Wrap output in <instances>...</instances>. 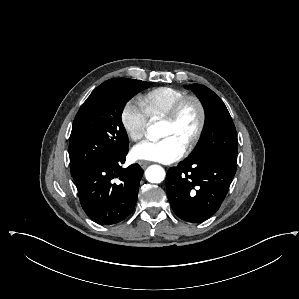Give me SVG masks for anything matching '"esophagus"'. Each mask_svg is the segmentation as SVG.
I'll list each match as a JSON object with an SVG mask.
<instances>
[{
    "instance_id": "obj_1",
    "label": "esophagus",
    "mask_w": 299,
    "mask_h": 299,
    "mask_svg": "<svg viewBox=\"0 0 299 299\" xmlns=\"http://www.w3.org/2000/svg\"><path fill=\"white\" fill-rule=\"evenodd\" d=\"M141 168H146L150 163L148 161H139L138 162Z\"/></svg>"
}]
</instances>
